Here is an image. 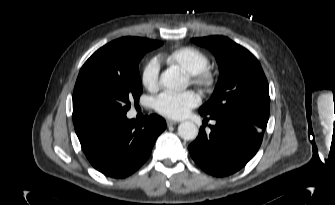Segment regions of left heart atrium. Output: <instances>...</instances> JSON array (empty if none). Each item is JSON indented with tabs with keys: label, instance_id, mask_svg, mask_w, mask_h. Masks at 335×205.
Returning a JSON list of instances; mask_svg holds the SVG:
<instances>
[{
	"label": "left heart atrium",
	"instance_id": "39dd6f15",
	"mask_svg": "<svg viewBox=\"0 0 335 205\" xmlns=\"http://www.w3.org/2000/svg\"><path fill=\"white\" fill-rule=\"evenodd\" d=\"M200 103V97L194 91H165L154 100L155 110L166 117L180 119Z\"/></svg>",
	"mask_w": 335,
	"mask_h": 205
}]
</instances>
